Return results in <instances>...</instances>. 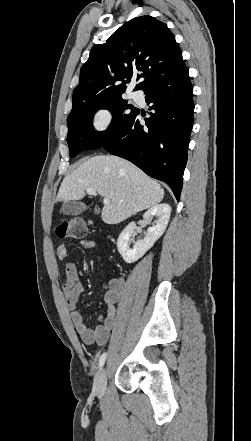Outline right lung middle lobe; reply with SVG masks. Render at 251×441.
Returning a JSON list of instances; mask_svg holds the SVG:
<instances>
[{"instance_id":"1","label":"right lung middle lobe","mask_w":251,"mask_h":441,"mask_svg":"<svg viewBox=\"0 0 251 441\" xmlns=\"http://www.w3.org/2000/svg\"><path fill=\"white\" fill-rule=\"evenodd\" d=\"M99 109H108L113 115L110 126L104 132L95 131L92 125L93 115ZM136 111L137 108L128 104L122 96L74 102L67 118L70 156L75 157L83 150L102 147L127 125Z\"/></svg>"}]
</instances>
